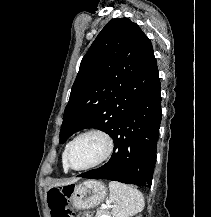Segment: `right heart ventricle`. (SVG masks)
I'll list each match as a JSON object with an SVG mask.
<instances>
[{"label":"right heart ventricle","instance_id":"1","mask_svg":"<svg viewBox=\"0 0 211 217\" xmlns=\"http://www.w3.org/2000/svg\"><path fill=\"white\" fill-rule=\"evenodd\" d=\"M68 145H69V143L66 144L64 151H63V154H62V167H63V170L65 172H67L69 170V168L66 164V160H65V154H66V150H67Z\"/></svg>","mask_w":211,"mask_h":217}]
</instances>
